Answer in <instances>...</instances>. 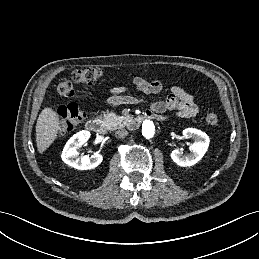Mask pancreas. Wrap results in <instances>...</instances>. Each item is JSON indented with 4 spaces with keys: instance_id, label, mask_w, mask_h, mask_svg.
Instances as JSON below:
<instances>
[{
    "instance_id": "cf45deb5",
    "label": "pancreas",
    "mask_w": 259,
    "mask_h": 259,
    "mask_svg": "<svg viewBox=\"0 0 259 259\" xmlns=\"http://www.w3.org/2000/svg\"><path fill=\"white\" fill-rule=\"evenodd\" d=\"M102 119L109 130L125 127L131 120L129 116H118L113 112L104 113Z\"/></svg>"
}]
</instances>
